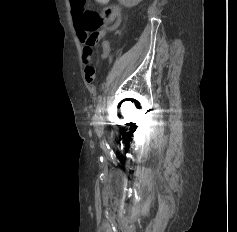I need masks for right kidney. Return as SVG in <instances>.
Wrapping results in <instances>:
<instances>
[{
    "mask_svg": "<svg viewBox=\"0 0 237 232\" xmlns=\"http://www.w3.org/2000/svg\"><path fill=\"white\" fill-rule=\"evenodd\" d=\"M122 5L127 8H132L138 5L142 0H118Z\"/></svg>",
    "mask_w": 237,
    "mask_h": 232,
    "instance_id": "right-kidney-1",
    "label": "right kidney"
}]
</instances>
